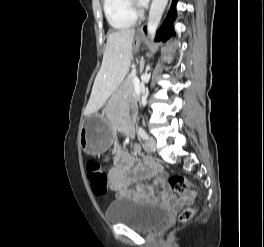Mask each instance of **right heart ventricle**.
Returning <instances> with one entry per match:
<instances>
[{
  "label": "right heart ventricle",
  "instance_id": "e07e8e85",
  "mask_svg": "<svg viewBox=\"0 0 264 247\" xmlns=\"http://www.w3.org/2000/svg\"><path fill=\"white\" fill-rule=\"evenodd\" d=\"M103 9L110 25L115 29H127L137 21L129 0H103Z\"/></svg>",
  "mask_w": 264,
  "mask_h": 247
}]
</instances>
